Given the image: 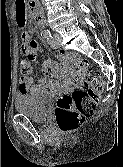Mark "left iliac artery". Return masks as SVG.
I'll list each match as a JSON object with an SVG mask.
<instances>
[{
	"instance_id": "44dca946",
	"label": "left iliac artery",
	"mask_w": 123,
	"mask_h": 167,
	"mask_svg": "<svg viewBox=\"0 0 123 167\" xmlns=\"http://www.w3.org/2000/svg\"><path fill=\"white\" fill-rule=\"evenodd\" d=\"M45 38L47 39L48 44H49L51 47H54V39H53L51 33H49V35L46 36Z\"/></svg>"
}]
</instances>
